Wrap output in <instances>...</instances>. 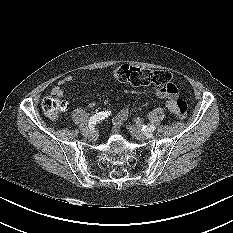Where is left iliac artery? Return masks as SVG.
<instances>
[{"instance_id":"obj_1","label":"left iliac artery","mask_w":233,"mask_h":233,"mask_svg":"<svg viewBox=\"0 0 233 233\" xmlns=\"http://www.w3.org/2000/svg\"><path fill=\"white\" fill-rule=\"evenodd\" d=\"M143 130L154 131L156 127L154 125L144 126L142 127Z\"/></svg>"}]
</instances>
